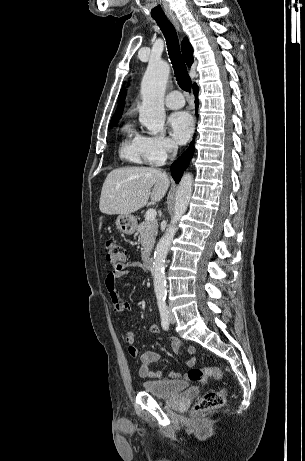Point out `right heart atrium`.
<instances>
[{"mask_svg": "<svg viewBox=\"0 0 305 461\" xmlns=\"http://www.w3.org/2000/svg\"><path fill=\"white\" fill-rule=\"evenodd\" d=\"M143 147L147 161L159 165L174 151V142L164 136L143 137Z\"/></svg>", "mask_w": 305, "mask_h": 461, "instance_id": "d8ad5b80", "label": "right heart atrium"}]
</instances>
